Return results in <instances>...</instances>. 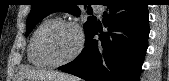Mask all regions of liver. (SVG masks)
<instances>
[{
    "mask_svg": "<svg viewBox=\"0 0 169 81\" xmlns=\"http://www.w3.org/2000/svg\"><path fill=\"white\" fill-rule=\"evenodd\" d=\"M23 75L31 81H75L74 77L56 71L26 69Z\"/></svg>",
    "mask_w": 169,
    "mask_h": 81,
    "instance_id": "obj_1",
    "label": "liver"
}]
</instances>
